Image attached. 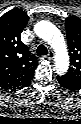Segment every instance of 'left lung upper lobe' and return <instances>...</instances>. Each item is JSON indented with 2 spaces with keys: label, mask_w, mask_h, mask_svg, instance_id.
I'll return each mask as SVG.
<instances>
[{
  "label": "left lung upper lobe",
  "mask_w": 81,
  "mask_h": 124,
  "mask_svg": "<svg viewBox=\"0 0 81 124\" xmlns=\"http://www.w3.org/2000/svg\"><path fill=\"white\" fill-rule=\"evenodd\" d=\"M65 28L71 66L63 77L81 89V19L76 16L67 17Z\"/></svg>",
  "instance_id": "5c2ea615"
}]
</instances>
